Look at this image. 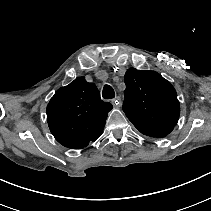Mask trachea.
<instances>
[{"instance_id": "trachea-1", "label": "trachea", "mask_w": 211, "mask_h": 211, "mask_svg": "<svg viewBox=\"0 0 211 211\" xmlns=\"http://www.w3.org/2000/svg\"><path fill=\"white\" fill-rule=\"evenodd\" d=\"M102 96L105 99H112V98L115 97V92L110 85L105 84L104 87H103Z\"/></svg>"}]
</instances>
